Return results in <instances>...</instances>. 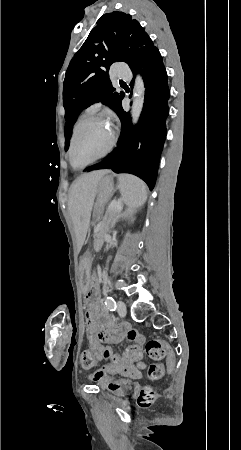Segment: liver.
I'll list each match as a JSON object with an SVG mask.
<instances>
[{"label": "liver", "mask_w": 241, "mask_h": 450, "mask_svg": "<svg viewBox=\"0 0 241 450\" xmlns=\"http://www.w3.org/2000/svg\"><path fill=\"white\" fill-rule=\"evenodd\" d=\"M109 172L110 170H98L75 180L70 190L68 206L77 226H84L87 230L98 184Z\"/></svg>", "instance_id": "1"}]
</instances>
